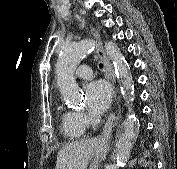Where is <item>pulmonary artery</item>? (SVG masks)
<instances>
[{"label": "pulmonary artery", "mask_w": 177, "mask_h": 169, "mask_svg": "<svg viewBox=\"0 0 177 169\" xmlns=\"http://www.w3.org/2000/svg\"><path fill=\"white\" fill-rule=\"evenodd\" d=\"M76 77L79 80H86L91 77L92 70L87 65H81L75 72Z\"/></svg>", "instance_id": "1"}]
</instances>
